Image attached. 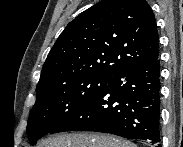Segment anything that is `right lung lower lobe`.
Masks as SVG:
<instances>
[{"instance_id": "obj_1", "label": "right lung lower lobe", "mask_w": 183, "mask_h": 147, "mask_svg": "<svg viewBox=\"0 0 183 147\" xmlns=\"http://www.w3.org/2000/svg\"><path fill=\"white\" fill-rule=\"evenodd\" d=\"M159 121L160 61L157 59L115 73L51 134L95 131L159 143Z\"/></svg>"}]
</instances>
